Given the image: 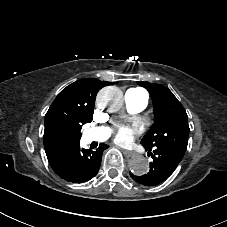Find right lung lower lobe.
<instances>
[{"instance_id":"obj_1","label":"right lung lower lobe","mask_w":227,"mask_h":227,"mask_svg":"<svg viewBox=\"0 0 227 227\" xmlns=\"http://www.w3.org/2000/svg\"><path fill=\"white\" fill-rule=\"evenodd\" d=\"M108 148L100 144L95 151L81 149L79 143L73 144L61 151L52 161L50 166L61 178L70 182H86L94 177L101 164L103 151Z\"/></svg>"}]
</instances>
